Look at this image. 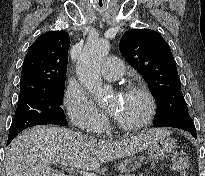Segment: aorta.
<instances>
[{"mask_svg":"<svg viewBox=\"0 0 205 176\" xmlns=\"http://www.w3.org/2000/svg\"><path fill=\"white\" fill-rule=\"evenodd\" d=\"M109 50L110 43L107 40L88 41L79 56L76 66L79 82L98 101H102L109 94V90L103 87L100 77L101 64L108 55Z\"/></svg>","mask_w":205,"mask_h":176,"instance_id":"762f6f07","label":"aorta"}]
</instances>
